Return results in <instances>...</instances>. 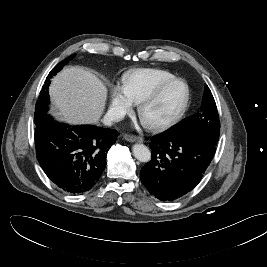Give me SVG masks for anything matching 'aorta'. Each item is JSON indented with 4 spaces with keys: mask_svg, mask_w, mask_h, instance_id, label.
<instances>
[{
    "mask_svg": "<svg viewBox=\"0 0 267 267\" xmlns=\"http://www.w3.org/2000/svg\"><path fill=\"white\" fill-rule=\"evenodd\" d=\"M133 154L137 160L140 162H148L151 160V152L147 146L143 144L133 145Z\"/></svg>",
    "mask_w": 267,
    "mask_h": 267,
    "instance_id": "aorta-1",
    "label": "aorta"
}]
</instances>
